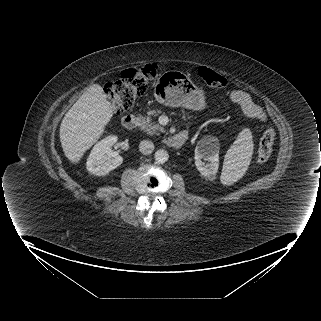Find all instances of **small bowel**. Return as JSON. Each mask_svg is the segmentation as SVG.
Masks as SVG:
<instances>
[{"label": "small bowel", "instance_id": "c3829d8e", "mask_svg": "<svg viewBox=\"0 0 321 321\" xmlns=\"http://www.w3.org/2000/svg\"><path fill=\"white\" fill-rule=\"evenodd\" d=\"M229 100L237 105L247 116L255 119L260 123L267 121V115L265 111L257 105L252 97L245 91L232 90L229 92Z\"/></svg>", "mask_w": 321, "mask_h": 321}]
</instances>
